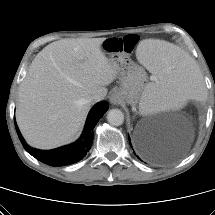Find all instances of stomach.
I'll return each instance as SVG.
<instances>
[{
  "instance_id": "stomach-1",
  "label": "stomach",
  "mask_w": 215,
  "mask_h": 215,
  "mask_svg": "<svg viewBox=\"0 0 215 215\" xmlns=\"http://www.w3.org/2000/svg\"><path fill=\"white\" fill-rule=\"evenodd\" d=\"M108 54L110 63L118 73L120 97L128 104L136 105L145 85L146 74L144 69L135 64L127 53L118 51Z\"/></svg>"
}]
</instances>
